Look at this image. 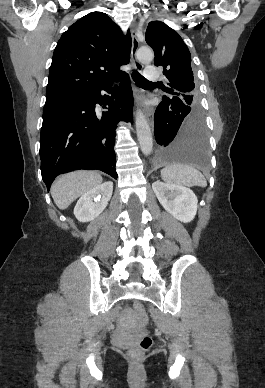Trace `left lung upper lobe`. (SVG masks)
I'll list each match as a JSON object with an SVG mask.
<instances>
[{
	"label": "left lung upper lobe",
	"mask_w": 265,
	"mask_h": 388,
	"mask_svg": "<svg viewBox=\"0 0 265 388\" xmlns=\"http://www.w3.org/2000/svg\"><path fill=\"white\" fill-rule=\"evenodd\" d=\"M154 50L155 66H162L168 87H162L170 98L181 100L185 105L200 109L199 93L191 70V55L180 35L164 22L148 24L145 36Z\"/></svg>",
	"instance_id": "5c2ea615"
}]
</instances>
